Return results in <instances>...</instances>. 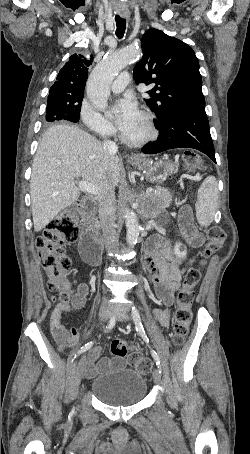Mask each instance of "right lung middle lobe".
<instances>
[{"instance_id":"obj_1","label":"right lung middle lobe","mask_w":250,"mask_h":454,"mask_svg":"<svg viewBox=\"0 0 250 454\" xmlns=\"http://www.w3.org/2000/svg\"><path fill=\"white\" fill-rule=\"evenodd\" d=\"M83 94L74 98H58V96L48 95L46 108V121L53 122L56 120H68L78 122L80 118L81 102Z\"/></svg>"}]
</instances>
